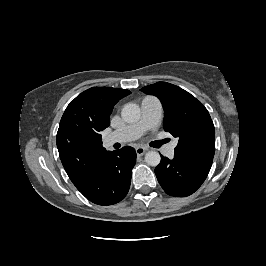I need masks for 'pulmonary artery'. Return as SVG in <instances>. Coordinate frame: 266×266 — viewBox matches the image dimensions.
<instances>
[{
  "label": "pulmonary artery",
  "mask_w": 266,
  "mask_h": 266,
  "mask_svg": "<svg viewBox=\"0 0 266 266\" xmlns=\"http://www.w3.org/2000/svg\"><path fill=\"white\" fill-rule=\"evenodd\" d=\"M162 117V105L153 96L143 98L141 102V117L138 122L127 125L122 129L111 132L107 137V144L125 143L138 139L145 131L156 128ZM176 142L165 146L163 152L167 157H172Z\"/></svg>",
  "instance_id": "e3ab8cb5"
}]
</instances>
